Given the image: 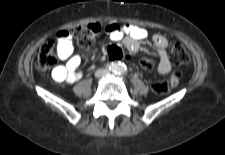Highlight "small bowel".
Instances as JSON below:
<instances>
[{"instance_id":"obj_1","label":"small bowel","mask_w":225,"mask_h":155,"mask_svg":"<svg viewBox=\"0 0 225 155\" xmlns=\"http://www.w3.org/2000/svg\"><path fill=\"white\" fill-rule=\"evenodd\" d=\"M107 27L109 28L107 33L110 39L114 41L123 40L126 48L132 53L138 52L140 43L150 38L159 59L157 65L158 73L165 75L171 71V62L167 54L169 41L164 35L153 34L149 36L144 28L129 24L109 23ZM56 38L58 40L57 55L60 60L65 61V64L55 67L52 71V77L57 82L74 83L82 75L77 71L80 57L73 54L70 29L67 27L58 28Z\"/></svg>"}]
</instances>
